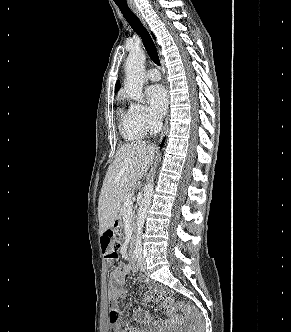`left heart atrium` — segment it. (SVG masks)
I'll return each instance as SVG.
<instances>
[{"instance_id":"left-heart-atrium-1","label":"left heart atrium","mask_w":291,"mask_h":332,"mask_svg":"<svg viewBox=\"0 0 291 332\" xmlns=\"http://www.w3.org/2000/svg\"><path fill=\"white\" fill-rule=\"evenodd\" d=\"M146 97L150 104V111L154 118L160 119L168 105V96L167 92L161 85H152L149 86L146 90Z\"/></svg>"}]
</instances>
